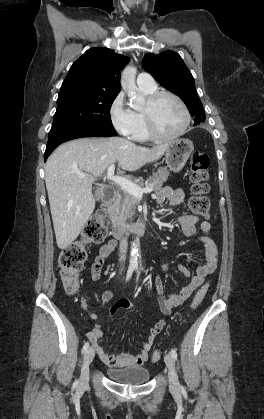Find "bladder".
I'll list each match as a JSON object with an SVG mask.
<instances>
[{
  "label": "bladder",
  "instance_id": "31cf9c89",
  "mask_svg": "<svg viewBox=\"0 0 264 419\" xmlns=\"http://www.w3.org/2000/svg\"><path fill=\"white\" fill-rule=\"evenodd\" d=\"M106 374L112 381L120 384L138 385L146 383L150 378L149 370L141 366L107 368Z\"/></svg>",
  "mask_w": 264,
  "mask_h": 419
}]
</instances>
